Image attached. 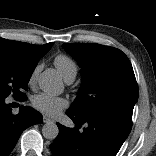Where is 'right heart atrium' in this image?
<instances>
[{"mask_svg":"<svg viewBox=\"0 0 156 156\" xmlns=\"http://www.w3.org/2000/svg\"><path fill=\"white\" fill-rule=\"evenodd\" d=\"M40 69H41V64H38V65L33 69V71L31 72V74H30V76H29V80H28V82H29L30 85L35 84V82H36V77H37V74H38V72L40 71Z\"/></svg>","mask_w":156,"mask_h":156,"instance_id":"d8ad5b80","label":"right heart atrium"}]
</instances>
